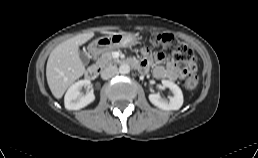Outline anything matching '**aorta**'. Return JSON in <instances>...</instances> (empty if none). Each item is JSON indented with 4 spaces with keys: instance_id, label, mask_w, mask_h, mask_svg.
<instances>
[{
    "instance_id": "obj_1",
    "label": "aorta",
    "mask_w": 258,
    "mask_h": 158,
    "mask_svg": "<svg viewBox=\"0 0 258 158\" xmlns=\"http://www.w3.org/2000/svg\"><path fill=\"white\" fill-rule=\"evenodd\" d=\"M130 72V67L128 64H122L119 66V73L128 74Z\"/></svg>"
}]
</instances>
